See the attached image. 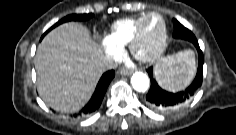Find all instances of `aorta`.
<instances>
[{
  "mask_svg": "<svg viewBox=\"0 0 236 135\" xmlns=\"http://www.w3.org/2000/svg\"><path fill=\"white\" fill-rule=\"evenodd\" d=\"M131 84L138 92H145L150 85L148 76L143 72H135L131 77Z\"/></svg>",
  "mask_w": 236,
  "mask_h": 135,
  "instance_id": "aorta-1",
  "label": "aorta"
}]
</instances>
